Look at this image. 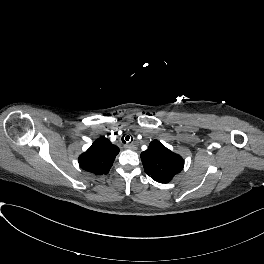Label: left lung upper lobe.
Masks as SVG:
<instances>
[{"label":"left lung upper lobe","instance_id":"1","mask_svg":"<svg viewBox=\"0 0 264 264\" xmlns=\"http://www.w3.org/2000/svg\"><path fill=\"white\" fill-rule=\"evenodd\" d=\"M145 172L159 183H168L184 167V160L173 153L158 140L150 143L148 149L141 153Z\"/></svg>","mask_w":264,"mask_h":264}]
</instances>
